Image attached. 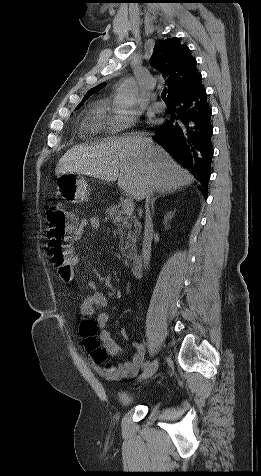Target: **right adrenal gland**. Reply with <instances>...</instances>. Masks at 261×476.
Instances as JSON below:
<instances>
[{
	"instance_id": "obj_1",
	"label": "right adrenal gland",
	"mask_w": 261,
	"mask_h": 476,
	"mask_svg": "<svg viewBox=\"0 0 261 476\" xmlns=\"http://www.w3.org/2000/svg\"><path fill=\"white\" fill-rule=\"evenodd\" d=\"M168 193H171V192H166V193H161V194H157V195H154L152 194V198H151V210H152V213L154 214V203L156 201L157 198L159 197H164L165 195H167Z\"/></svg>"
}]
</instances>
